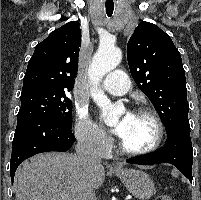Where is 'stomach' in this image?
<instances>
[{"label":"stomach","mask_w":201,"mask_h":200,"mask_svg":"<svg viewBox=\"0 0 201 200\" xmlns=\"http://www.w3.org/2000/svg\"><path fill=\"white\" fill-rule=\"evenodd\" d=\"M115 173L128 191L136 198L147 200L154 194V183L151 177L144 171L136 169H115Z\"/></svg>","instance_id":"obj_1"}]
</instances>
